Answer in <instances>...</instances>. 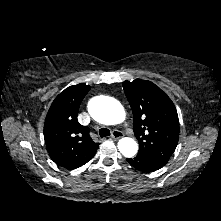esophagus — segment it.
Segmentation results:
<instances>
[{
  "mask_svg": "<svg viewBox=\"0 0 221 221\" xmlns=\"http://www.w3.org/2000/svg\"><path fill=\"white\" fill-rule=\"evenodd\" d=\"M123 136H124V134L121 131H118V130H114L111 134V138L113 140H118V139L122 138Z\"/></svg>",
  "mask_w": 221,
  "mask_h": 221,
  "instance_id": "34e87169",
  "label": "esophagus"
}]
</instances>
